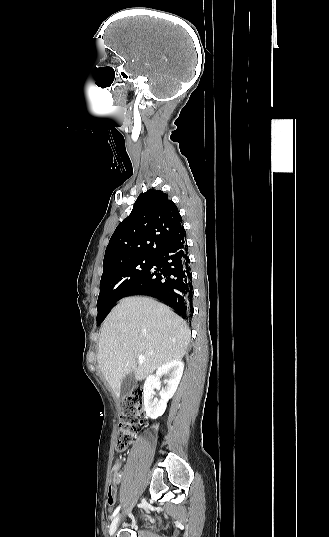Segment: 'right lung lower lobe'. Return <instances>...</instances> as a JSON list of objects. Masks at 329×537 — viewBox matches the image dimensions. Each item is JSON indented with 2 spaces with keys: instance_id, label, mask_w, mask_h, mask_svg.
Returning a JSON list of instances; mask_svg holds the SVG:
<instances>
[{
  "instance_id": "obj_1",
  "label": "right lung lower lobe",
  "mask_w": 329,
  "mask_h": 537,
  "mask_svg": "<svg viewBox=\"0 0 329 537\" xmlns=\"http://www.w3.org/2000/svg\"><path fill=\"white\" fill-rule=\"evenodd\" d=\"M185 231L160 249L126 296L148 295L174 308L184 319L192 313L193 286Z\"/></svg>"
}]
</instances>
